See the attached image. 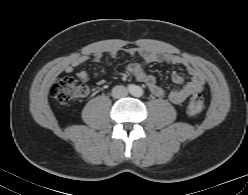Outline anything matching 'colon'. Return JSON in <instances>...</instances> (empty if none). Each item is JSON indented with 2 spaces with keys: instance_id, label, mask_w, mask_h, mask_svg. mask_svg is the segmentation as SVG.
<instances>
[{
  "instance_id": "1",
  "label": "colon",
  "mask_w": 248,
  "mask_h": 195,
  "mask_svg": "<svg viewBox=\"0 0 248 195\" xmlns=\"http://www.w3.org/2000/svg\"><path fill=\"white\" fill-rule=\"evenodd\" d=\"M84 86L80 85L72 76H65L56 79L51 88V96L61 105H70L84 91ZM205 102L201 95H193L187 106V113L190 116H197L204 110Z\"/></svg>"
}]
</instances>
